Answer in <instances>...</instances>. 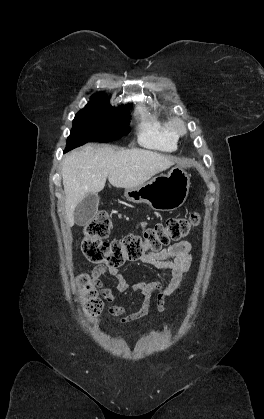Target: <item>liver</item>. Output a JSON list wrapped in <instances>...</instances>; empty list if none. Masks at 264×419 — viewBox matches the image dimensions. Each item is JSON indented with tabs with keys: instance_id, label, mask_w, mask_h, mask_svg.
I'll return each instance as SVG.
<instances>
[{
	"instance_id": "6515ba94",
	"label": "liver",
	"mask_w": 264,
	"mask_h": 419,
	"mask_svg": "<svg viewBox=\"0 0 264 419\" xmlns=\"http://www.w3.org/2000/svg\"><path fill=\"white\" fill-rule=\"evenodd\" d=\"M173 164V157L145 149L116 151L109 146L88 144L73 150L62 163L68 225H74L76 206L87 194L100 192L107 178L114 187L132 188L144 184Z\"/></svg>"
}]
</instances>
